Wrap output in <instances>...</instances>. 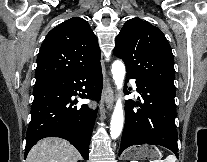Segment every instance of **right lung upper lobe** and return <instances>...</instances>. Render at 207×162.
<instances>
[{"label":"right lung upper lobe","mask_w":207,"mask_h":162,"mask_svg":"<svg viewBox=\"0 0 207 162\" xmlns=\"http://www.w3.org/2000/svg\"><path fill=\"white\" fill-rule=\"evenodd\" d=\"M100 64L98 41L87 21L73 17L53 28L37 57L35 85Z\"/></svg>","instance_id":"obj_1"}]
</instances>
